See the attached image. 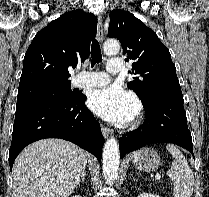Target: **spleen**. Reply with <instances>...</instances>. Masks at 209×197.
I'll list each match as a JSON object with an SVG mask.
<instances>
[{
  "instance_id": "1",
  "label": "spleen",
  "mask_w": 209,
  "mask_h": 197,
  "mask_svg": "<svg viewBox=\"0 0 209 197\" xmlns=\"http://www.w3.org/2000/svg\"><path fill=\"white\" fill-rule=\"evenodd\" d=\"M166 149L174 158L171 168L167 171L173 181L174 197H191L194 190V176L186 158L175 145L168 144ZM137 155L136 152L134 156Z\"/></svg>"
}]
</instances>
